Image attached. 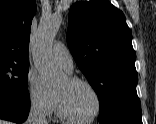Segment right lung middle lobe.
I'll use <instances>...</instances> for the list:
<instances>
[{
  "label": "right lung middle lobe",
  "instance_id": "1",
  "mask_svg": "<svg viewBox=\"0 0 156 124\" xmlns=\"http://www.w3.org/2000/svg\"><path fill=\"white\" fill-rule=\"evenodd\" d=\"M29 63L0 62V92L29 98Z\"/></svg>",
  "mask_w": 156,
  "mask_h": 124
}]
</instances>
